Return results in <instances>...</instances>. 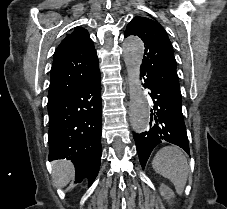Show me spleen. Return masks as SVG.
Masks as SVG:
<instances>
[{"instance_id":"3e777b00","label":"spleen","mask_w":227,"mask_h":209,"mask_svg":"<svg viewBox=\"0 0 227 209\" xmlns=\"http://www.w3.org/2000/svg\"><path fill=\"white\" fill-rule=\"evenodd\" d=\"M156 173L173 183L176 193L183 195L188 179V165L185 155L178 147H163L152 161Z\"/></svg>"}]
</instances>
